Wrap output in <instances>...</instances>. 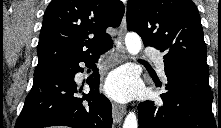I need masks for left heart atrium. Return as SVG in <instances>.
I'll list each match as a JSON object with an SVG mask.
<instances>
[{"label":"left heart atrium","mask_w":221,"mask_h":128,"mask_svg":"<svg viewBox=\"0 0 221 128\" xmlns=\"http://www.w3.org/2000/svg\"><path fill=\"white\" fill-rule=\"evenodd\" d=\"M138 84L135 77L126 70H117L107 79L104 91L113 99L120 102L129 100L136 92Z\"/></svg>","instance_id":"obj_1"}]
</instances>
